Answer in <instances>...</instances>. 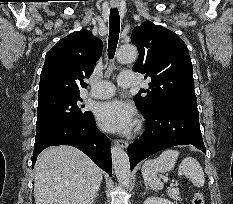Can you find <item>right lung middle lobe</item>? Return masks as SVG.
Segmentation results:
<instances>
[{"instance_id": "obj_1", "label": "right lung middle lobe", "mask_w": 233, "mask_h": 204, "mask_svg": "<svg viewBox=\"0 0 233 204\" xmlns=\"http://www.w3.org/2000/svg\"><path fill=\"white\" fill-rule=\"evenodd\" d=\"M80 101L82 99L79 95L56 96L39 101L36 138L88 119L92 113L86 111Z\"/></svg>"}]
</instances>
